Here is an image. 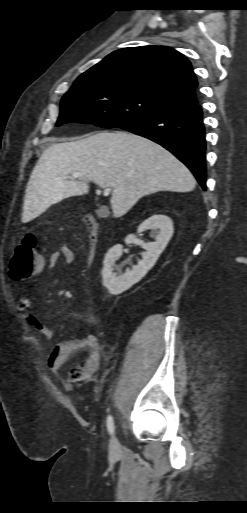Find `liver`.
Masks as SVG:
<instances>
[{
	"instance_id": "1",
	"label": "liver",
	"mask_w": 247,
	"mask_h": 513,
	"mask_svg": "<svg viewBox=\"0 0 247 513\" xmlns=\"http://www.w3.org/2000/svg\"><path fill=\"white\" fill-rule=\"evenodd\" d=\"M75 172L81 174L79 179H68ZM90 182L112 188L110 203L116 218L143 196L191 192L196 185L190 170L152 140L123 131L95 132L43 152L26 189L24 216L37 217L52 204L88 193Z\"/></svg>"
}]
</instances>
